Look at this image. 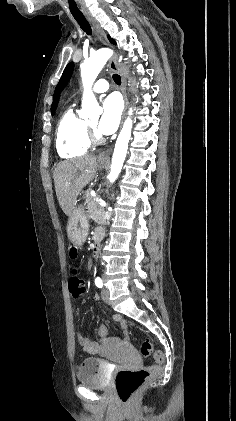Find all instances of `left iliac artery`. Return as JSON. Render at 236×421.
I'll return each mask as SVG.
<instances>
[{
    "instance_id": "left-iliac-artery-1",
    "label": "left iliac artery",
    "mask_w": 236,
    "mask_h": 421,
    "mask_svg": "<svg viewBox=\"0 0 236 421\" xmlns=\"http://www.w3.org/2000/svg\"><path fill=\"white\" fill-rule=\"evenodd\" d=\"M95 285H96L98 288H102V287H103V282H102V280H101V278H100V277H97V278L95 279Z\"/></svg>"
}]
</instances>
